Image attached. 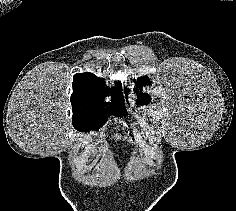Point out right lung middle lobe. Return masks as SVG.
I'll return each instance as SVG.
<instances>
[{"label": "right lung middle lobe", "instance_id": "1", "mask_svg": "<svg viewBox=\"0 0 236 211\" xmlns=\"http://www.w3.org/2000/svg\"><path fill=\"white\" fill-rule=\"evenodd\" d=\"M114 115L116 116L127 115V112H122L120 114H114ZM106 120H107L106 114L73 113L72 124L76 130L87 132L93 129H97V127H99V125H103Z\"/></svg>", "mask_w": 236, "mask_h": 211}]
</instances>
